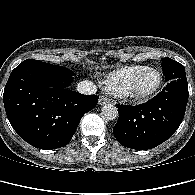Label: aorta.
<instances>
[{"label": "aorta", "instance_id": "1", "mask_svg": "<svg viewBox=\"0 0 195 195\" xmlns=\"http://www.w3.org/2000/svg\"><path fill=\"white\" fill-rule=\"evenodd\" d=\"M102 115L107 119V120H115L118 117V109L115 105L113 104H105L102 107Z\"/></svg>", "mask_w": 195, "mask_h": 195}]
</instances>
